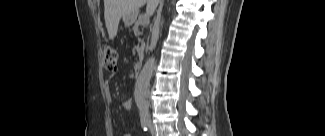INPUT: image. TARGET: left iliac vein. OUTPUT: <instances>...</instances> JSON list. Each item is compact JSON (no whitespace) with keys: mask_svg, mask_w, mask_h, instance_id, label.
I'll return each instance as SVG.
<instances>
[{"mask_svg":"<svg viewBox=\"0 0 325 136\" xmlns=\"http://www.w3.org/2000/svg\"><path fill=\"white\" fill-rule=\"evenodd\" d=\"M149 129H150V132H151L152 134H154V132H155V127H154L152 121L150 120V118H149Z\"/></svg>","mask_w":325,"mask_h":136,"instance_id":"1","label":"left iliac vein"}]
</instances>
